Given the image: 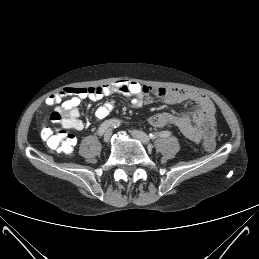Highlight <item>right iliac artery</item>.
Segmentation results:
<instances>
[{
  "instance_id": "obj_1",
  "label": "right iliac artery",
  "mask_w": 259,
  "mask_h": 259,
  "mask_svg": "<svg viewBox=\"0 0 259 259\" xmlns=\"http://www.w3.org/2000/svg\"><path fill=\"white\" fill-rule=\"evenodd\" d=\"M116 121H120V120L110 119V120H106L105 122H103L98 129V135L102 136L104 134L105 130L108 129L111 126V124Z\"/></svg>"
}]
</instances>
